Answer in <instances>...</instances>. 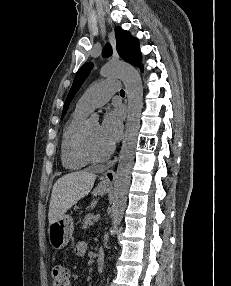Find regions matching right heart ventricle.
<instances>
[{
    "label": "right heart ventricle",
    "instance_id": "right-heart-ventricle-1",
    "mask_svg": "<svg viewBox=\"0 0 231 286\" xmlns=\"http://www.w3.org/2000/svg\"><path fill=\"white\" fill-rule=\"evenodd\" d=\"M88 111L76 107L75 111L66 122L60 143V159L63 167L68 170H79L86 166L75 153L77 135L86 121Z\"/></svg>",
    "mask_w": 231,
    "mask_h": 286
}]
</instances>
